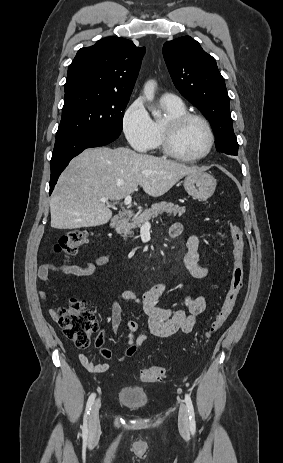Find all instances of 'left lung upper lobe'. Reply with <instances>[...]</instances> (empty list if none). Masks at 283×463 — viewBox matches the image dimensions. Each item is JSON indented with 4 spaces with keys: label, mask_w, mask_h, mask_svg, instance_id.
Wrapping results in <instances>:
<instances>
[{
    "label": "left lung upper lobe",
    "mask_w": 283,
    "mask_h": 463,
    "mask_svg": "<svg viewBox=\"0 0 283 463\" xmlns=\"http://www.w3.org/2000/svg\"><path fill=\"white\" fill-rule=\"evenodd\" d=\"M163 56L176 88L210 121L216 150L237 155L229 96L215 59L190 36L166 42Z\"/></svg>",
    "instance_id": "obj_1"
}]
</instances>
